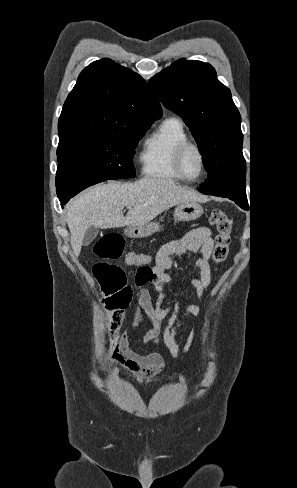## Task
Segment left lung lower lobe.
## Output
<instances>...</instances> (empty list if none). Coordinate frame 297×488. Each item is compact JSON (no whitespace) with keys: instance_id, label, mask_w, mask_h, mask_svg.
Masks as SVG:
<instances>
[{"instance_id":"1","label":"left lung lower lobe","mask_w":297,"mask_h":488,"mask_svg":"<svg viewBox=\"0 0 297 488\" xmlns=\"http://www.w3.org/2000/svg\"><path fill=\"white\" fill-rule=\"evenodd\" d=\"M235 202H236V204H238V205H239L240 207H242L243 209H246V210H247V209L249 208V206H248V203H247V202H242V201H240V200H236Z\"/></svg>"}]
</instances>
